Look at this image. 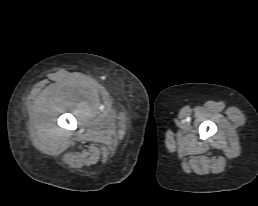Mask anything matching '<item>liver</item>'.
Returning a JSON list of instances; mask_svg holds the SVG:
<instances>
[{
	"label": "liver",
	"instance_id": "1",
	"mask_svg": "<svg viewBox=\"0 0 258 206\" xmlns=\"http://www.w3.org/2000/svg\"><path fill=\"white\" fill-rule=\"evenodd\" d=\"M47 91H48V88H46V89L43 91V93H44V94H46V93H47Z\"/></svg>",
	"mask_w": 258,
	"mask_h": 206
}]
</instances>
